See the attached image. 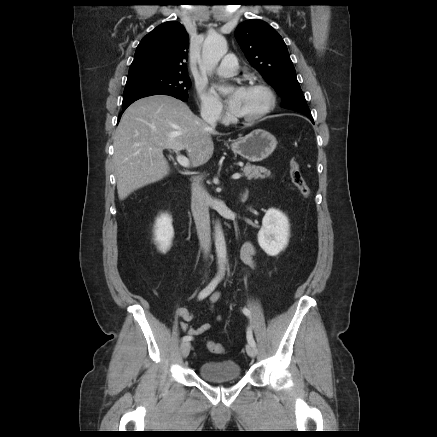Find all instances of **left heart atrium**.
Returning <instances> with one entry per match:
<instances>
[{
	"instance_id": "39dd6f15",
	"label": "left heart atrium",
	"mask_w": 437,
	"mask_h": 437,
	"mask_svg": "<svg viewBox=\"0 0 437 437\" xmlns=\"http://www.w3.org/2000/svg\"><path fill=\"white\" fill-rule=\"evenodd\" d=\"M244 89L243 87H235L228 97L227 105L231 112L235 113L238 110Z\"/></svg>"
}]
</instances>
